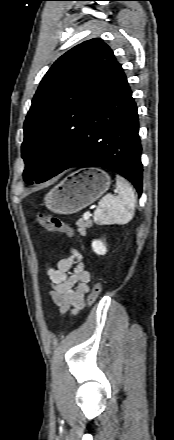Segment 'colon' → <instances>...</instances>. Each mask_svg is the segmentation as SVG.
<instances>
[{"instance_id": "1", "label": "colon", "mask_w": 174, "mask_h": 440, "mask_svg": "<svg viewBox=\"0 0 174 440\" xmlns=\"http://www.w3.org/2000/svg\"><path fill=\"white\" fill-rule=\"evenodd\" d=\"M36 217H37V221H38L39 225L42 226L43 228H45L49 231H53V232L64 233L65 235H67L69 237L74 236V230L70 226L65 224L57 216L37 214ZM101 290H102V282L97 281L93 285V287L88 295V298H87L88 304L90 306L94 304V302L96 301V299L100 295Z\"/></svg>"}]
</instances>
